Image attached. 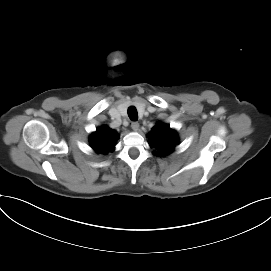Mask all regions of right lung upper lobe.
<instances>
[{
  "instance_id": "1",
  "label": "right lung upper lobe",
  "mask_w": 271,
  "mask_h": 271,
  "mask_svg": "<svg viewBox=\"0 0 271 271\" xmlns=\"http://www.w3.org/2000/svg\"><path fill=\"white\" fill-rule=\"evenodd\" d=\"M119 135L107 126H102L90 136L91 147L97 153L113 152Z\"/></svg>"
}]
</instances>
